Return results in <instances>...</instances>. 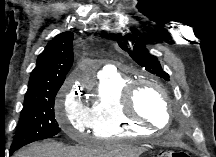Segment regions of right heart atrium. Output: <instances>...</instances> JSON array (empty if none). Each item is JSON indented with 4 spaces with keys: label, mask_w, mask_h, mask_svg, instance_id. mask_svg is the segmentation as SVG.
Returning a JSON list of instances; mask_svg holds the SVG:
<instances>
[{
    "label": "right heart atrium",
    "mask_w": 216,
    "mask_h": 157,
    "mask_svg": "<svg viewBox=\"0 0 216 157\" xmlns=\"http://www.w3.org/2000/svg\"><path fill=\"white\" fill-rule=\"evenodd\" d=\"M62 109L58 116L60 127L71 136L84 133L90 128L89 109L82 103L80 94L71 81L63 89Z\"/></svg>",
    "instance_id": "right-heart-atrium-1"
}]
</instances>
